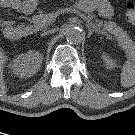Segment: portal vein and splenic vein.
Instances as JSON below:
<instances>
[{"mask_svg": "<svg viewBox=\"0 0 135 135\" xmlns=\"http://www.w3.org/2000/svg\"><path fill=\"white\" fill-rule=\"evenodd\" d=\"M67 11H68V12H71V13H74V14H77V15L80 16L81 18L85 19L84 14H82L80 11H78V10H76V9H67ZM60 13H61V12H56V13H54V15H52V16L50 17V22H54L56 16H57L58 14H60ZM106 36L108 37V35H106Z\"/></svg>", "mask_w": 135, "mask_h": 135, "instance_id": "1", "label": "portal vein and splenic vein"}]
</instances>
